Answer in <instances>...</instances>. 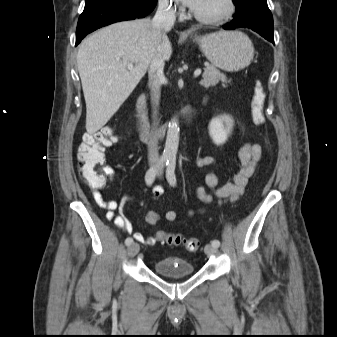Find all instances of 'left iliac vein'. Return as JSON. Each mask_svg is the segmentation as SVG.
Instances as JSON below:
<instances>
[{
	"label": "left iliac vein",
	"mask_w": 337,
	"mask_h": 337,
	"mask_svg": "<svg viewBox=\"0 0 337 337\" xmlns=\"http://www.w3.org/2000/svg\"><path fill=\"white\" fill-rule=\"evenodd\" d=\"M161 170L158 172V176L161 175ZM205 253L207 255H215L218 253V248L216 246H213L212 244H208L205 246Z\"/></svg>",
	"instance_id": "4c4485c4"
}]
</instances>
